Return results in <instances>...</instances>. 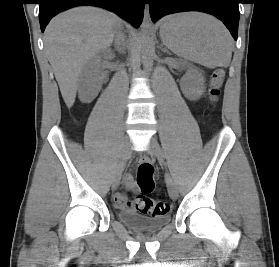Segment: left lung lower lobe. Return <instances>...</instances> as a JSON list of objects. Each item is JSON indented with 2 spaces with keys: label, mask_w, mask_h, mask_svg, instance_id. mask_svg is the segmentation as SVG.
Returning a JSON list of instances; mask_svg holds the SVG:
<instances>
[{
  "label": "left lung lower lobe",
  "mask_w": 279,
  "mask_h": 267,
  "mask_svg": "<svg viewBox=\"0 0 279 267\" xmlns=\"http://www.w3.org/2000/svg\"><path fill=\"white\" fill-rule=\"evenodd\" d=\"M153 22L167 14L201 11L217 16L236 40L239 22V0H149Z\"/></svg>",
  "instance_id": "obj_1"
}]
</instances>
